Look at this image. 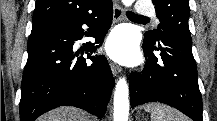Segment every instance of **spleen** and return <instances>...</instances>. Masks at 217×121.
Listing matches in <instances>:
<instances>
[{
	"label": "spleen",
	"instance_id": "obj_1",
	"mask_svg": "<svg viewBox=\"0 0 217 121\" xmlns=\"http://www.w3.org/2000/svg\"><path fill=\"white\" fill-rule=\"evenodd\" d=\"M145 110L151 113V121H188L182 113L164 104H148Z\"/></svg>",
	"mask_w": 217,
	"mask_h": 121
}]
</instances>
